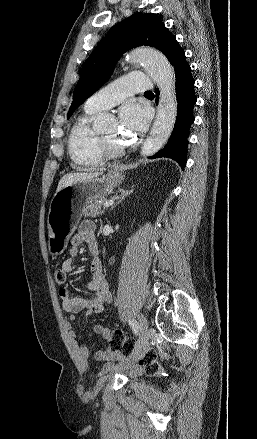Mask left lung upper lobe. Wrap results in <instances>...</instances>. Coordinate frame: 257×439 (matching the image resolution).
I'll list each match as a JSON object with an SVG mask.
<instances>
[{
    "label": "left lung upper lobe",
    "mask_w": 257,
    "mask_h": 439,
    "mask_svg": "<svg viewBox=\"0 0 257 439\" xmlns=\"http://www.w3.org/2000/svg\"><path fill=\"white\" fill-rule=\"evenodd\" d=\"M174 40L175 36L155 14L135 13L116 24L84 62L67 118L110 78L116 62L127 50L152 46L167 56Z\"/></svg>",
    "instance_id": "5c2ea615"
}]
</instances>
